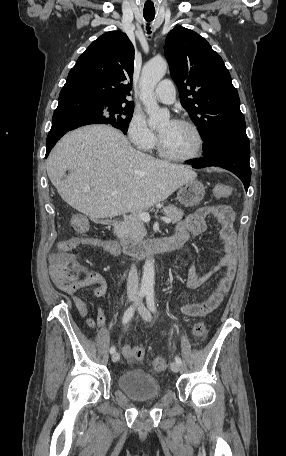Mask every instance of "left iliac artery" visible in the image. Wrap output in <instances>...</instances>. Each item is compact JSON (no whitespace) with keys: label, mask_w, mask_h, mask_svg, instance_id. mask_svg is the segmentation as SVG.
Returning a JSON list of instances; mask_svg holds the SVG:
<instances>
[{"label":"left iliac artery","mask_w":286,"mask_h":456,"mask_svg":"<svg viewBox=\"0 0 286 456\" xmlns=\"http://www.w3.org/2000/svg\"><path fill=\"white\" fill-rule=\"evenodd\" d=\"M146 302H147V306L148 308L152 311V312H156V305H155V294H154V290L150 289V290H147L146 291ZM175 361L181 365L182 361H181V358L179 356H176L175 357Z\"/></svg>","instance_id":"1"}]
</instances>
